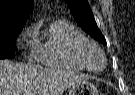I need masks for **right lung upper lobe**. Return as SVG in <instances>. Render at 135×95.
Masks as SVG:
<instances>
[{
	"label": "right lung upper lobe",
	"instance_id": "cb5924a9",
	"mask_svg": "<svg viewBox=\"0 0 135 95\" xmlns=\"http://www.w3.org/2000/svg\"><path fill=\"white\" fill-rule=\"evenodd\" d=\"M33 0H0V35L23 29Z\"/></svg>",
	"mask_w": 135,
	"mask_h": 95
}]
</instances>
